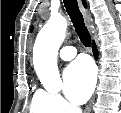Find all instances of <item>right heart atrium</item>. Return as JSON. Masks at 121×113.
Here are the masks:
<instances>
[{
  "label": "right heart atrium",
  "mask_w": 121,
  "mask_h": 113,
  "mask_svg": "<svg viewBox=\"0 0 121 113\" xmlns=\"http://www.w3.org/2000/svg\"><path fill=\"white\" fill-rule=\"evenodd\" d=\"M56 111H63L68 108L67 103L59 95H51Z\"/></svg>",
  "instance_id": "d8ad5b80"
}]
</instances>
